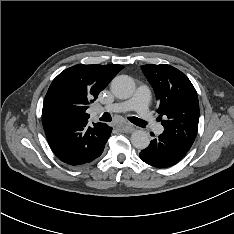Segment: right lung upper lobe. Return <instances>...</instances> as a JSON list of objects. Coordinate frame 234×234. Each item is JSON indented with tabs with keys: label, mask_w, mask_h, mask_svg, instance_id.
Listing matches in <instances>:
<instances>
[{
	"label": "right lung upper lobe",
	"mask_w": 234,
	"mask_h": 234,
	"mask_svg": "<svg viewBox=\"0 0 234 234\" xmlns=\"http://www.w3.org/2000/svg\"><path fill=\"white\" fill-rule=\"evenodd\" d=\"M122 69V65L78 64L61 72L51 83L44 99L43 127L88 120V105ZM55 120L58 122L54 123Z\"/></svg>",
	"instance_id": "obj_1"
}]
</instances>
